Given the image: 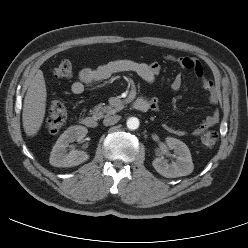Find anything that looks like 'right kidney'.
I'll use <instances>...</instances> for the list:
<instances>
[{"instance_id":"obj_1","label":"right kidney","mask_w":248,"mask_h":248,"mask_svg":"<svg viewBox=\"0 0 248 248\" xmlns=\"http://www.w3.org/2000/svg\"><path fill=\"white\" fill-rule=\"evenodd\" d=\"M88 130L84 126H70L60 135L50 154V164L55 167H73L89 159L84 151L72 150L67 153V147L72 142H83Z\"/></svg>"}]
</instances>
